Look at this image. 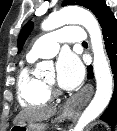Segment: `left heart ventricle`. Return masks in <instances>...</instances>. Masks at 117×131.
Returning <instances> with one entry per match:
<instances>
[{"mask_svg":"<svg viewBox=\"0 0 117 131\" xmlns=\"http://www.w3.org/2000/svg\"><path fill=\"white\" fill-rule=\"evenodd\" d=\"M54 79H55V73L50 74V75L46 78V80H48V81H54Z\"/></svg>","mask_w":117,"mask_h":131,"instance_id":"left-heart-ventricle-1","label":"left heart ventricle"}]
</instances>
